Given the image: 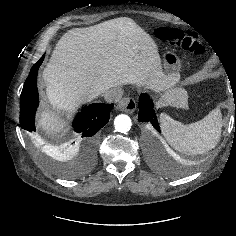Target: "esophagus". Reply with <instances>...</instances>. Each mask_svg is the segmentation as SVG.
I'll return each instance as SVG.
<instances>
[{
  "label": "esophagus",
  "instance_id": "34e87169",
  "mask_svg": "<svg viewBox=\"0 0 236 236\" xmlns=\"http://www.w3.org/2000/svg\"><path fill=\"white\" fill-rule=\"evenodd\" d=\"M117 108L122 112L132 114L136 110V102L131 97H124L117 104Z\"/></svg>",
  "mask_w": 236,
  "mask_h": 236
}]
</instances>
